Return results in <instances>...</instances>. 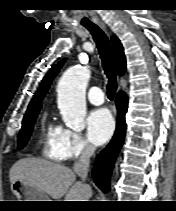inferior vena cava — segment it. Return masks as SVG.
<instances>
[{"mask_svg": "<svg viewBox=\"0 0 176 211\" xmlns=\"http://www.w3.org/2000/svg\"><path fill=\"white\" fill-rule=\"evenodd\" d=\"M95 147L87 143L80 158L74 163V172L85 181L89 169L90 157L94 154Z\"/></svg>", "mask_w": 176, "mask_h": 211, "instance_id": "1", "label": "inferior vena cava"}]
</instances>
